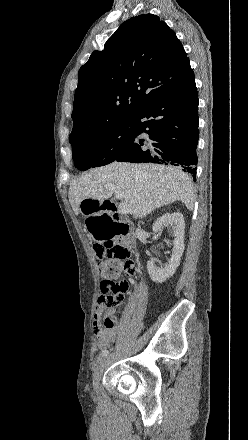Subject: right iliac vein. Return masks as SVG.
Here are the masks:
<instances>
[{
    "instance_id": "63e3f726",
    "label": "right iliac vein",
    "mask_w": 248,
    "mask_h": 440,
    "mask_svg": "<svg viewBox=\"0 0 248 440\" xmlns=\"http://www.w3.org/2000/svg\"><path fill=\"white\" fill-rule=\"evenodd\" d=\"M108 360L109 359L107 357L100 358L97 361V363H96V366H95L94 372H93V386H94V389H97L98 386H99V381L101 379V376H102L105 368L108 365Z\"/></svg>"
}]
</instances>
